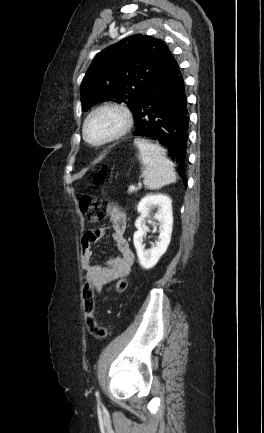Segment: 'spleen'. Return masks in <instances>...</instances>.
Listing matches in <instances>:
<instances>
[{
    "label": "spleen",
    "mask_w": 264,
    "mask_h": 433,
    "mask_svg": "<svg viewBox=\"0 0 264 433\" xmlns=\"http://www.w3.org/2000/svg\"><path fill=\"white\" fill-rule=\"evenodd\" d=\"M134 144L140 151V159L144 165V185L150 189H159L176 182L173 163L165 156V150L146 139L136 138Z\"/></svg>",
    "instance_id": "3e777b00"
}]
</instances>
